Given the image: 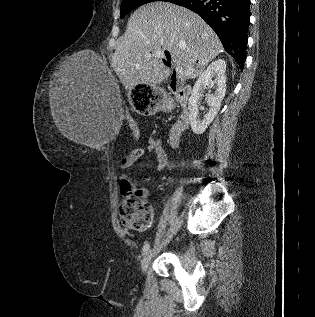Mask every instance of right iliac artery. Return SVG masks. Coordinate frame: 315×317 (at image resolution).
<instances>
[{
  "instance_id": "right-iliac-artery-1",
  "label": "right iliac artery",
  "mask_w": 315,
  "mask_h": 317,
  "mask_svg": "<svg viewBox=\"0 0 315 317\" xmlns=\"http://www.w3.org/2000/svg\"><path fill=\"white\" fill-rule=\"evenodd\" d=\"M148 249H149V244H145L142 249L143 253H145Z\"/></svg>"
}]
</instances>
